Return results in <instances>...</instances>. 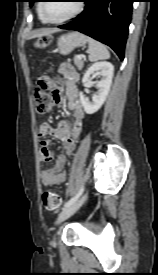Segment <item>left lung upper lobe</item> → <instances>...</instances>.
Instances as JSON below:
<instances>
[{"label":"left lung upper lobe","instance_id":"obj_1","mask_svg":"<svg viewBox=\"0 0 158 275\" xmlns=\"http://www.w3.org/2000/svg\"><path fill=\"white\" fill-rule=\"evenodd\" d=\"M35 2V0H30V5H32Z\"/></svg>","mask_w":158,"mask_h":275}]
</instances>
